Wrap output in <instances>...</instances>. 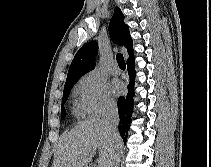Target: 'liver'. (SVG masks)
Wrapping results in <instances>:
<instances>
[{
    "label": "liver",
    "mask_w": 211,
    "mask_h": 167,
    "mask_svg": "<svg viewBox=\"0 0 211 167\" xmlns=\"http://www.w3.org/2000/svg\"><path fill=\"white\" fill-rule=\"evenodd\" d=\"M121 147V138L116 143L113 141L104 119H87L60 137L55 147L52 167H88L91 157L86 155L97 149L98 167H112L117 148Z\"/></svg>",
    "instance_id": "liver-1"
}]
</instances>
